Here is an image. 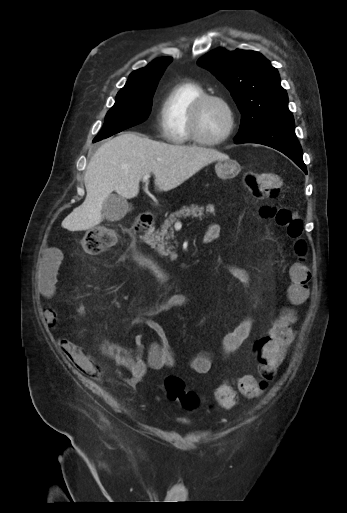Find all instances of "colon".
<instances>
[{
  "instance_id": "1",
  "label": "colon",
  "mask_w": 347,
  "mask_h": 513,
  "mask_svg": "<svg viewBox=\"0 0 347 513\" xmlns=\"http://www.w3.org/2000/svg\"><path fill=\"white\" fill-rule=\"evenodd\" d=\"M245 193L248 196L273 199L281 191V180L275 173H253L246 179ZM259 214L263 219L275 220L284 227L286 235L293 241V252L297 260L289 269V298L296 303L304 300L308 294L311 271L306 262L308 255L307 242L303 236L304 221L292 209L263 205ZM116 232L108 227L96 226L85 232L82 245L90 254H97L113 247L117 242ZM296 314L291 308H284L272 320L266 340L258 346L256 377L242 376L236 381V389L249 398L260 396L278 375L280 361L287 357L286 345L293 336L292 324ZM165 390L171 400L179 401L186 409L195 410L199 406L198 396L185 389L182 378L168 376L165 379ZM215 401L223 408H232L237 402V394L233 385L220 384L214 393Z\"/></svg>"
}]
</instances>
